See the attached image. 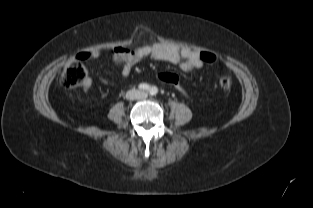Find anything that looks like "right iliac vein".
<instances>
[{"mask_svg":"<svg viewBox=\"0 0 313 208\" xmlns=\"http://www.w3.org/2000/svg\"><path fill=\"white\" fill-rule=\"evenodd\" d=\"M138 96H139V92L137 90H130L126 94V98L129 100L136 99V98H138Z\"/></svg>","mask_w":313,"mask_h":208,"instance_id":"1","label":"right iliac vein"}]
</instances>
